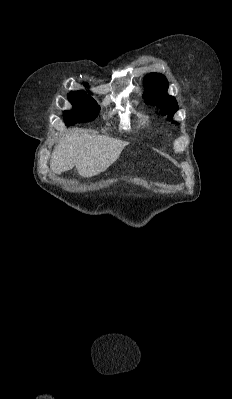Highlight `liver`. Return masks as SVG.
<instances>
[{
    "label": "liver",
    "instance_id": "liver-1",
    "mask_svg": "<svg viewBox=\"0 0 232 399\" xmlns=\"http://www.w3.org/2000/svg\"><path fill=\"white\" fill-rule=\"evenodd\" d=\"M129 142H122L108 136L87 134L81 128H75L66 136H61L50 158L51 172L61 174L77 168L83 178L98 176L118 160Z\"/></svg>",
    "mask_w": 232,
    "mask_h": 399
}]
</instances>
